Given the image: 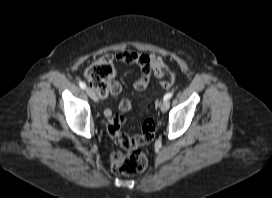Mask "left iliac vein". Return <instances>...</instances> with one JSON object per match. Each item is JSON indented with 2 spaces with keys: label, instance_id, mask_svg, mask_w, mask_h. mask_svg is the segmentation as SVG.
I'll return each instance as SVG.
<instances>
[{
  "label": "left iliac vein",
  "instance_id": "obj_1",
  "mask_svg": "<svg viewBox=\"0 0 272 198\" xmlns=\"http://www.w3.org/2000/svg\"><path fill=\"white\" fill-rule=\"evenodd\" d=\"M169 106H170V103L168 100H166L160 104V109L162 112H166L169 109Z\"/></svg>",
  "mask_w": 272,
  "mask_h": 198
}]
</instances>
